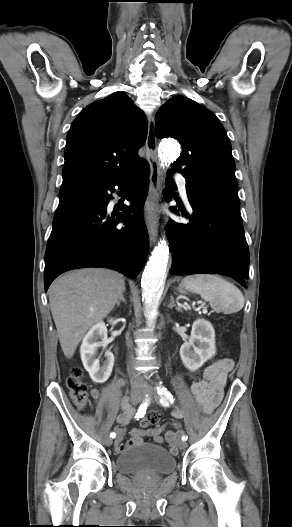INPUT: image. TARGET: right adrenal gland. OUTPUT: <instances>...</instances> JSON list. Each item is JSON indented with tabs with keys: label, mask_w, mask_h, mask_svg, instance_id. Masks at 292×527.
Listing matches in <instances>:
<instances>
[{
	"label": "right adrenal gland",
	"mask_w": 292,
	"mask_h": 527,
	"mask_svg": "<svg viewBox=\"0 0 292 527\" xmlns=\"http://www.w3.org/2000/svg\"><path fill=\"white\" fill-rule=\"evenodd\" d=\"M121 302L126 303V300H125V298H124V294H122V295L120 296V298H119L118 301L116 302V306L119 307Z\"/></svg>",
	"instance_id": "right-adrenal-gland-1"
}]
</instances>
